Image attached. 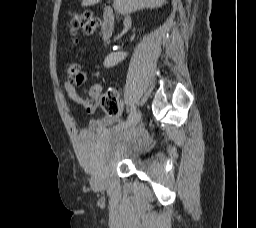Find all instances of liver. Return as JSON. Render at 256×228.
<instances>
[{
  "label": "liver",
  "mask_w": 256,
  "mask_h": 228,
  "mask_svg": "<svg viewBox=\"0 0 256 228\" xmlns=\"http://www.w3.org/2000/svg\"><path fill=\"white\" fill-rule=\"evenodd\" d=\"M100 0H82V6H90L98 3ZM166 0H115L113 7L121 14H128L145 8L161 7Z\"/></svg>",
  "instance_id": "obj_1"
}]
</instances>
